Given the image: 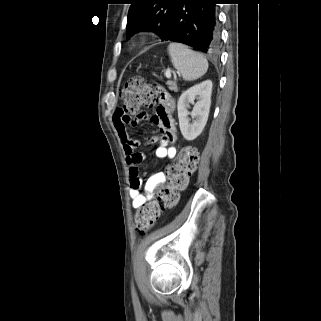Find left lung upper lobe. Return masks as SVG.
<instances>
[{
  "mask_svg": "<svg viewBox=\"0 0 321 321\" xmlns=\"http://www.w3.org/2000/svg\"><path fill=\"white\" fill-rule=\"evenodd\" d=\"M177 2L178 0H130L126 26L127 39L136 32L146 30L155 32L163 40Z\"/></svg>",
  "mask_w": 321,
  "mask_h": 321,
  "instance_id": "1",
  "label": "left lung upper lobe"
}]
</instances>
